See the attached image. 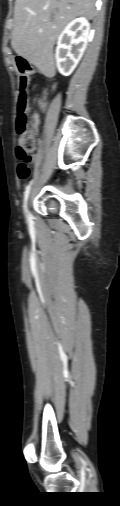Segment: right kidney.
I'll use <instances>...</instances> for the list:
<instances>
[{"label":"right kidney","mask_w":120,"mask_h":506,"mask_svg":"<svg viewBox=\"0 0 120 506\" xmlns=\"http://www.w3.org/2000/svg\"><path fill=\"white\" fill-rule=\"evenodd\" d=\"M90 37V24L84 17L74 19L61 32L55 53L58 71L70 75L86 49Z\"/></svg>","instance_id":"ca27d5eb"}]
</instances>
